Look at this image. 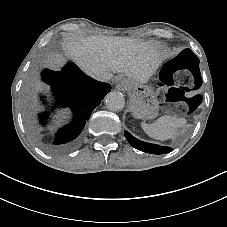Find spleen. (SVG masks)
Instances as JSON below:
<instances>
[{
	"label": "spleen",
	"mask_w": 227,
	"mask_h": 227,
	"mask_svg": "<svg viewBox=\"0 0 227 227\" xmlns=\"http://www.w3.org/2000/svg\"><path fill=\"white\" fill-rule=\"evenodd\" d=\"M185 122V118L163 115L157 118L153 123H142V128L153 138L165 140L171 138L177 127L183 125Z\"/></svg>",
	"instance_id": "3e777b00"
}]
</instances>
